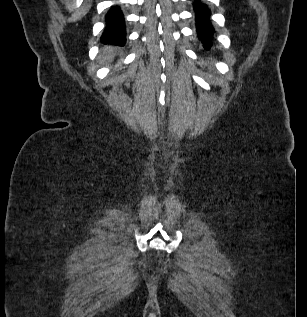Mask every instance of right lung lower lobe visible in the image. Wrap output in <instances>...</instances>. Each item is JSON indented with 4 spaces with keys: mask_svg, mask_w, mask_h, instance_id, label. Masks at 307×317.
Returning <instances> with one entry per match:
<instances>
[{
    "mask_svg": "<svg viewBox=\"0 0 307 317\" xmlns=\"http://www.w3.org/2000/svg\"><path fill=\"white\" fill-rule=\"evenodd\" d=\"M106 27L101 36L103 43L124 46L126 43L125 21L119 6H113L105 17Z\"/></svg>",
    "mask_w": 307,
    "mask_h": 317,
    "instance_id": "1",
    "label": "right lung lower lobe"
}]
</instances>
